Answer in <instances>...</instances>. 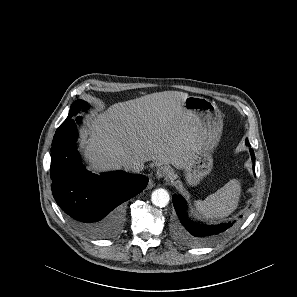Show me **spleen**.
<instances>
[{
  "instance_id": "3e777b00",
  "label": "spleen",
  "mask_w": 297,
  "mask_h": 297,
  "mask_svg": "<svg viewBox=\"0 0 297 297\" xmlns=\"http://www.w3.org/2000/svg\"><path fill=\"white\" fill-rule=\"evenodd\" d=\"M241 191L240 181L232 179L205 200L195 201L196 212L204 218H224L237 208Z\"/></svg>"
}]
</instances>
